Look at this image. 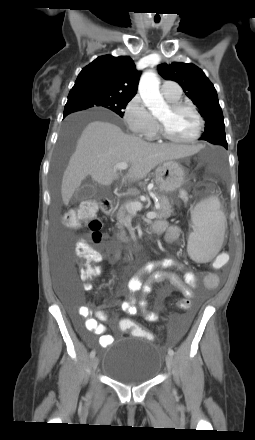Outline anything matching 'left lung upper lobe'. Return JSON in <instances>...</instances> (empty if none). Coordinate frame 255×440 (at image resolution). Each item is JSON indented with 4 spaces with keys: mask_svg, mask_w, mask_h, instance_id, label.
Wrapping results in <instances>:
<instances>
[{
    "mask_svg": "<svg viewBox=\"0 0 255 440\" xmlns=\"http://www.w3.org/2000/svg\"><path fill=\"white\" fill-rule=\"evenodd\" d=\"M158 70L165 79L179 83L185 94L198 107L206 122L205 132L200 140L220 144L227 149L224 117L218 96L204 72L192 63L181 62L161 64Z\"/></svg>",
    "mask_w": 255,
    "mask_h": 440,
    "instance_id": "obj_1",
    "label": "left lung upper lobe"
}]
</instances>
